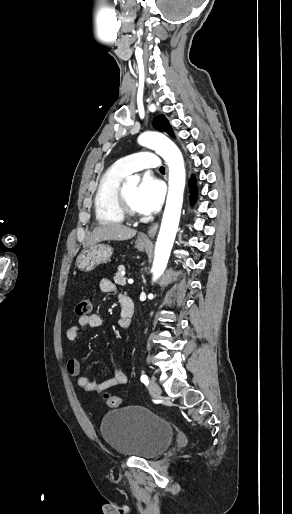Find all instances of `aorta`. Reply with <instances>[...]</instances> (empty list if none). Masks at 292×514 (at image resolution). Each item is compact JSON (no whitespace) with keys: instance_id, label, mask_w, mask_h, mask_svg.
Returning a JSON list of instances; mask_svg holds the SVG:
<instances>
[{"instance_id":"aorta-1","label":"aorta","mask_w":292,"mask_h":514,"mask_svg":"<svg viewBox=\"0 0 292 514\" xmlns=\"http://www.w3.org/2000/svg\"><path fill=\"white\" fill-rule=\"evenodd\" d=\"M138 144L155 150L159 154L169 168L168 196L163 214V220L156 242L155 258L153 262L152 272L153 280H157L162 276L169 260L170 252L173 248L176 232L179 226L181 216V208L183 204V192L185 188V168L184 160L177 146L158 132H144L138 138ZM139 178L137 176H129L127 178V186H137Z\"/></svg>"}]
</instances>
